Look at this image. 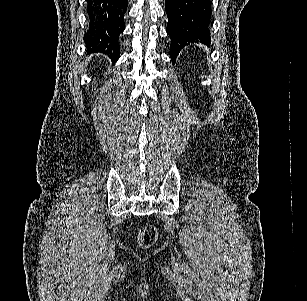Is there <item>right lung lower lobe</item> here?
Instances as JSON below:
<instances>
[{
	"label": "right lung lower lobe",
	"instance_id": "right-lung-lower-lobe-1",
	"mask_svg": "<svg viewBox=\"0 0 307 301\" xmlns=\"http://www.w3.org/2000/svg\"><path fill=\"white\" fill-rule=\"evenodd\" d=\"M88 30L84 42L91 52L119 59V35L124 31V15L128 0H86Z\"/></svg>",
	"mask_w": 307,
	"mask_h": 301
}]
</instances>
